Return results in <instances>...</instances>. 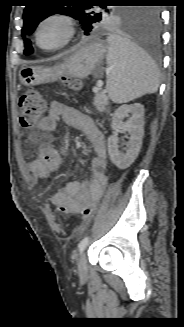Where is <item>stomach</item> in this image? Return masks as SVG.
<instances>
[{"label": "stomach", "instance_id": "0dacf381", "mask_svg": "<svg viewBox=\"0 0 184 327\" xmlns=\"http://www.w3.org/2000/svg\"><path fill=\"white\" fill-rule=\"evenodd\" d=\"M106 51L107 46L104 42L90 43L53 67H21L18 73L19 80L25 86H33L54 82L61 77L84 79L91 74L99 76Z\"/></svg>", "mask_w": 184, "mask_h": 327}]
</instances>
